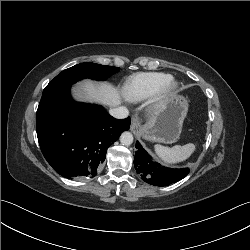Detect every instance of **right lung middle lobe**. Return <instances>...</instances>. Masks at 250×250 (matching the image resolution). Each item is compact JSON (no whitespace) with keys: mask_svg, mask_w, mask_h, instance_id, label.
Segmentation results:
<instances>
[{"mask_svg":"<svg viewBox=\"0 0 250 250\" xmlns=\"http://www.w3.org/2000/svg\"><path fill=\"white\" fill-rule=\"evenodd\" d=\"M119 71L118 67L104 66L96 63H81L63 70L43 90L42 99L54 94L58 89L70 86L83 78L105 80L107 77Z\"/></svg>","mask_w":250,"mask_h":250,"instance_id":"right-lung-middle-lobe-1","label":"right lung middle lobe"}]
</instances>
